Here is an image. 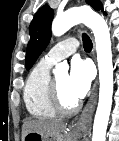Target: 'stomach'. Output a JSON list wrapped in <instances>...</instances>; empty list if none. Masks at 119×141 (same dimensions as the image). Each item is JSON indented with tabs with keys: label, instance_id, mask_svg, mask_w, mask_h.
<instances>
[{
	"label": "stomach",
	"instance_id": "stomach-1",
	"mask_svg": "<svg viewBox=\"0 0 119 141\" xmlns=\"http://www.w3.org/2000/svg\"><path fill=\"white\" fill-rule=\"evenodd\" d=\"M74 135L67 133L43 134L37 131L29 132L25 135L23 141H70Z\"/></svg>",
	"mask_w": 119,
	"mask_h": 141
}]
</instances>
